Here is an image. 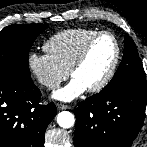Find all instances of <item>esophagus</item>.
Here are the masks:
<instances>
[{
  "instance_id": "esophagus-1",
  "label": "esophagus",
  "mask_w": 147,
  "mask_h": 147,
  "mask_svg": "<svg viewBox=\"0 0 147 147\" xmlns=\"http://www.w3.org/2000/svg\"><path fill=\"white\" fill-rule=\"evenodd\" d=\"M57 108L59 110H66V109H70V106L66 105V104H62V103H58L57 104Z\"/></svg>"
}]
</instances>
